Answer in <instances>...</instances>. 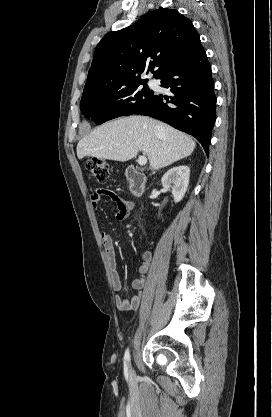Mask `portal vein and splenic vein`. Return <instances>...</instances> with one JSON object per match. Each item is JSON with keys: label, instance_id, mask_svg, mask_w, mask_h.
I'll list each match as a JSON object with an SVG mask.
<instances>
[{"label": "portal vein and splenic vein", "instance_id": "1", "mask_svg": "<svg viewBox=\"0 0 272 417\" xmlns=\"http://www.w3.org/2000/svg\"><path fill=\"white\" fill-rule=\"evenodd\" d=\"M146 163H147V158H146V156H145V155H141V156L139 157V159H138V164H139L140 166H144V165H146Z\"/></svg>", "mask_w": 272, "mask_h": 417}]
</instances>
